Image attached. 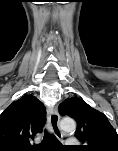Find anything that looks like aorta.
Instances as JSON below:
<instances>
[{
	"label": "aorta",
	"mask_w": 118,
	"mask_h": 151,
	"mask_svg": "<svg viewBox=\"0 0 118 151\" xmlns=\"http://www.w3.org/2000/svg\"><path fill=\"white\" fill-rule=\"evenodd\" d=\"M60 128L67 133L75 132L76 123L72 118H63L60 122Z\"/></svg>",
	"instance_id": "1"
}]
</instances>
